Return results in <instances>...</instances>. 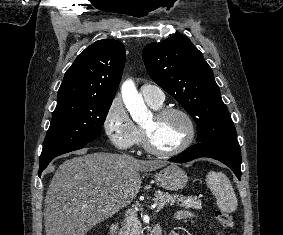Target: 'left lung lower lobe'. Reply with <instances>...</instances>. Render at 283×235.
Masks as SVG:
<instances>
[{
	"label": "left lung lower lobe",
	"mask_w": 283,
	"mask_h": 235,
	"mask_svg": "<svg viewBox=\"0 0 283 235\" xmlns=\"http://www.w3.org/2000/svg\"><path fill=\"white\" fill-rule=\"evenodd\" d=\"M200 157H210L227 165L241 179V151L236 137L214 139L189 147L169 161L185 163Z\"/></svg>",
	"instance_id": "0a47b994"
}]
</instances>
